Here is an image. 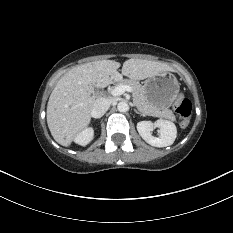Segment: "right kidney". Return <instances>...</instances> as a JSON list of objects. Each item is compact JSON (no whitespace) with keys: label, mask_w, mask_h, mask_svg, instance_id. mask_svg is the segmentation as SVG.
<instances>
[{"label":"right kidney","mask_w":233,"mask_h":233,"mask_svg":"<svg viewBox=\"0 0 233 233\" xmlns=\"http://www.w3.org/2000/svg\"><path fill=\"white\" fill-rule=\"evenodd\" d=\"M93 137L94 130L93 128L89 127L78 133L74 141L81 146H86L88 143L92 141Z\"/></svg>","instance_id":"right-kidney-1"}]
</instances>
